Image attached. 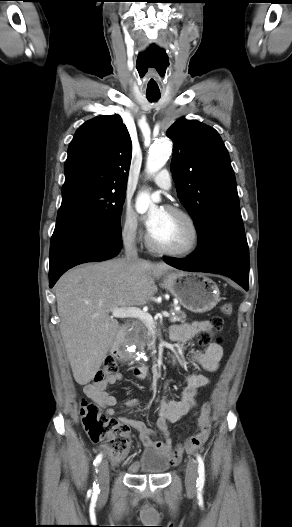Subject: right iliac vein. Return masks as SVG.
I'll use <instances>...</instances> for the list:
<instances>
[{"label": "right iliac vein", "mask_w": 292, "mask_h": 527, "mask_svg": "<svg viewBox=\"0 0 292 527\" xmlns=\"http://www.w3.org/2000/svg\"><path fill=\"white\" fill-rule=\"evenodd\" d=\"M98 478L100 489L103 493H105L109 487V467L105 460L99 465Z\"/></svg>", "instance_id": "1"}]
</instances>
